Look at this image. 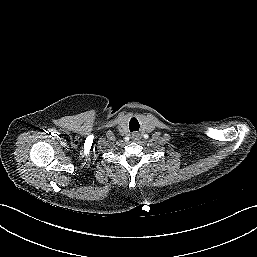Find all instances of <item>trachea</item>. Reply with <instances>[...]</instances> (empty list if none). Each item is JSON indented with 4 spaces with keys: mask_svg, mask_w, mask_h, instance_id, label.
I'll use <instances>...</instances> for the list:
<instances>
[{
    "mask_svg": "<svg viewBox=\"0 0 257 257\" xmlns=\"http://www.w3.org/2000/svg\"><path fill=\"white\" fill-rule=\"evenodd\" d=\"M133 123H135V125H134ZM130 130H131V131H137V130H139V123H138V121H137L136 119H132V120L130 121Z\"/></svg>",
    "mask_w": 257,
    "mask_h": 257,
    "instance_id": "trachea-1",
    "label": "trachea"
}]
</instances>
